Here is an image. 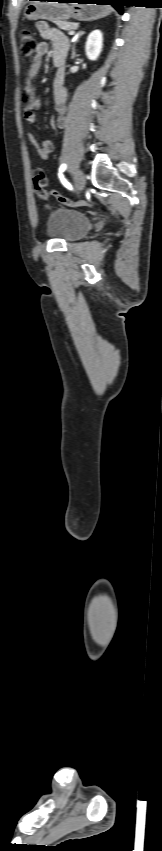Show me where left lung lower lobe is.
<instances>
[{
  "instance_id": "0a47b994",
  "label": "left lung lower lobe",
  "mask_w": 162,
  "mask_h": 851,
  "mask_svg": "<svg viewBox=\"0 0 162 851\" xmlns=\"http://www.w3.org/2000/svg\"><path fill=\"white\" fill-rule=\"evenodd\" d=\"M59 2H67L68 0H58ZM84 3H96V4H106L112 5L119 13H123L122 6H126V0H83Z\"/></svg>"
}]
</instances>
